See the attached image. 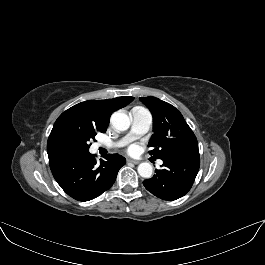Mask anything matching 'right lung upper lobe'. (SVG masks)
<instances>
[{
	"instance_id": "1",
	"label": "right lung upper lobe",
	"mask_w": 265,
	"mask_h": 265,
	"mask_svg": "<svg viewBox=\"0 0 265 265\" xmlns=\"http://www.w3.org/2000/svg\"><path fill=\"white\" fill-rule=\"evenodd\" d=\"M134 100L124 96L106 100L81 102L64 111L56 120L47 142L49 162L68 156L57 145L58 134L64 129L77 127L106 132L111 114Z\"/></svg>"
}]
</instances>
